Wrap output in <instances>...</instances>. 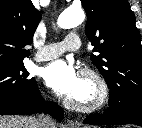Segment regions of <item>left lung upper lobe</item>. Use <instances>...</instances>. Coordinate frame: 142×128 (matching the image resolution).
<instances>
[{"label": "left lung upper lobe", "instance_id": "1", "mask_svg": "<svg viewBox=\"0 0 142 128\" xmlns=\"http://www.w3.org/2000/svg\"><path fill=\"white\" fill-rule=\"evenodd\" d=\"M87 13L85 33L91 60L105 78L109 107L142 101V45L135 15L127 0H81Z\"/></svg>", "mask_w": 142, "mask_h": 128}]
</instances>
